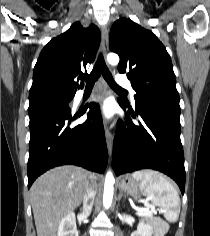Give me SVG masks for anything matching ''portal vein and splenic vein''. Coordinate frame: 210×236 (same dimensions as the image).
Here are the masks:
<instances>
[{
	"label": "portal vein and splenic vein",
	"mask_w": 210,
	"mask_h": 236,
	"mask_svg": "<svg viewBox=\"0 0 210 236\" xmlns=\"http://www.w3.org/2000/svg\"><path fill=\"white\" fill-rule=\"evenodd\" d=\"M154 209L149 210V207H146L144 209H142L140 212H138L137 214H142V215H152Z\"/></svg>",
	"instance_id": "obj_1"
}]
</instances>
